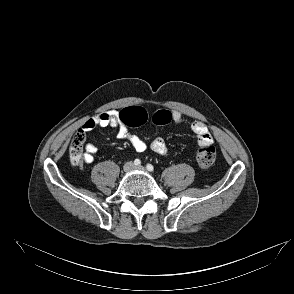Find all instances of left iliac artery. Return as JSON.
I'll return each mask as SVG.
<instances>
[{"label":"left iliac artery","instance_id":"obj_1","mask_svg":"<svg viewBox=\"0 0 294 294\" xmlns=\"http://www.w3.org/2000/svg\"><path fill=\"white\" fill-rule=\"evenodd\" d=\"M146 168H147L148 171H153L154 170V167L151 164H147Z\"/></svg>","mask_w":294,"mask_h":294}]
</instances>
